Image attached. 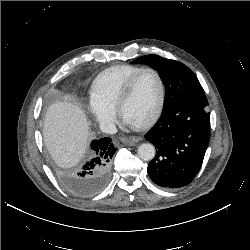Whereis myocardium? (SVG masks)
Here are the masks:
<instances>
[{
    "instance_id": "1",
    "label": "myocardium",
    "mask_w": 250,
    "mask_h": 250,
    "mask_svg": "<svg viewBox=\"0 0 250 250\" xmlns=\"http://www.w3.org/2000/svg\"><path fill=\"white\" fill-rule=\"evenodd\" d=\"M144 72H151L155 75L157 82H158L159 94H158L157 104H156L152 114L146 120H144L140 124L134 126V128H136V129H144V128L151 126L160 116L162 109H163V106H164V102H165V85H164V81L162 79L161 74L156 69H154L152 67H143V68L139 69L136 73H134L128 79V81L124 84L123 88L121 89V91L118 95V98L116 100V104H115V110H116L117 114L120 117H122L123 105L125 104V102L129 98L136 79Z\"/></svg>"
}]
</instances>
